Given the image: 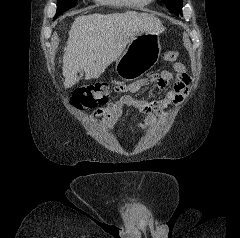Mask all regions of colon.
<instances>
[{"instance_id":"obj_1","label":"colon","mask_w":240,"mask_h":238,"mask_svg":"<svg viewBox=\"0 0 240 238\" xmlns=\"http://www.w3.org/2000/svg\"><path fill=\"white\" fill-rule=\"evenodd\" d=\"M178 58V52L170 50L164 53L163 59L167 62H174ZM109 86L105 83L86 84L77 87L72 96V105L77 109L92 108L97 103L108 100Z\"/></svg>"}]
</instances>
